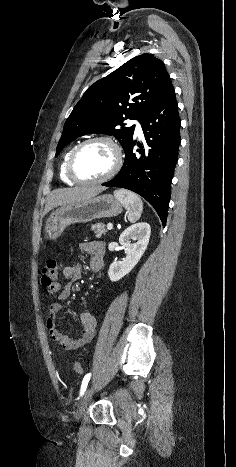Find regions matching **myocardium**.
I'll return each mask as SVG.
<instances>
[{"label": "myocardium", "instance_id": "f54148a6", "mask_svg": "<svg viewBox=\"0 0 236 467\" xmlns=\"http://www.w3.org/2000/svg\"><path fill=\"white\" fill-rule=\"evenodd\" d=\"M96 142L107 143L112 148V150L114 152L113 166L110 169V171L101 178H98V179H95V180H83V179L79 178V176L76 174V171H75L76 157H77L78 153L84 147H86L89 144L96 143ZM123 162H124L123 152H122V149H121L120 145L116 142V140H114L112 137L104 136V135L95 136V137H92V138H89V139L83 141L82 143L77 145L72 150V152H71V154H70V156L68 158V161H67L66 173H67V176L77 184H81V185L101 184V183H104V182L112 179L120 171V169L122 168Z\"/></svg>", "mask_w": 236, "mask_h": 467}]
</instances>
